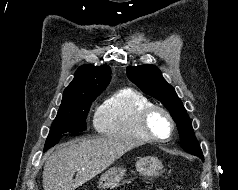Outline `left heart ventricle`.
<instances>
[{"instance_id": "1", "label": "left heart ventricle", "mask_w": 238, "mask_h": 190, "mask_svg": "<svg viewBox=\"0 0 238 190\" xmlns=\"http://www.w3.org/2000/svg\"><path fill=\"white\" fill-rule=\"evenodd\" d=\"M151 126L159 135H166L169 130L168 120L161 114L157 113L152 117Z\"/></svg>"}]
</instances>
